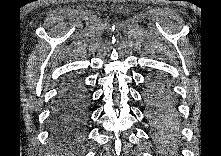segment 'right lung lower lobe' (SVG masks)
I'll use <instances>...</instances> for the list:
<instances>
[{
	"mask_svg": "<svg viewBox=\"0 0 221 156\" xmlns=\"http://www.w3.org/2000/svg\"><path fill=\"white\" fill-rule=\"evenodd\" d=\"M88 91L80 81L65 83L55 98L51 127L57 132H73L85 126L90 110Z\"/></svg>",
	"mask_w": 221,
	"mask_h": 156,
	"instance_id": "obj_1",
	"label": "right lung lower lobe"
}]
</instances>
